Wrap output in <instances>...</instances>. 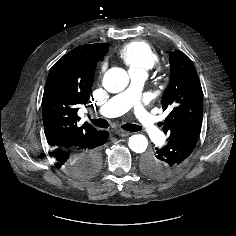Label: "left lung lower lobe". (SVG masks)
Instances as JSON below:
<instances>
[{"mask_svg":"<svg viewBox=\"0 0 236 236\" xmlns=\"http://www.w3.org/2000/svg\"><path fill=\"white\" fill-rule=\"evenodd\" d=\"M200 131H188L168 140L163 148H156L142 159V171L155 180H164L177 174L194 150Z\"/></svg>","mask_w":236,"mask_h":236,"instance_id":"0a47b994","label":"left lung lower lobe"}]
</instances>
